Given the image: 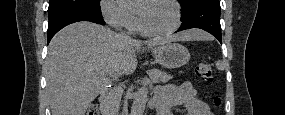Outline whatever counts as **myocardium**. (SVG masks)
Segmentation results:
<instances>
[{
	"mask_svg": "<svg viewBox=\"0 0 285 115\" xmlns=\"http://www.w3.org/2000/svg\"><path fill=\"white\" fill-rule=\"evenodd\" d=\"M152 1H166L167 3H169L173 7L174 15H175V24L169 30L151 31L143 25L141 17L138 14V28H139V30L144 34H146L148 36H153V37L168 36V35L175 33L178 30V28L180 27L181 20H182L181 7H180L178 1H176V0H146L145 2H152Z\"/></svg>",
	"mask_w": 285,
	"mask_h": 115,
	"instance_id": "obj_1",
	"label": "myocardium"
}]
</instances>
